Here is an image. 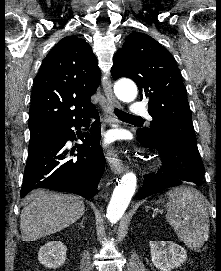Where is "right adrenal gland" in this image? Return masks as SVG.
<instances>
[{"instance_id":"right-adrenal-gland-1","label":"right adrenal gland","mask_w":221,"mask_h":271,"mask_svg":"<svg viewBox=\"0 0 221 271\" xmlns=\"http://www.w3.org/2000/svg\"><path fill=\"white\" fill-rule=\"evenodd\" d=\"M83 223H84V217H82V221H81V223H79V225H81V227H83Z\"/></svg>"}]
</instances>
